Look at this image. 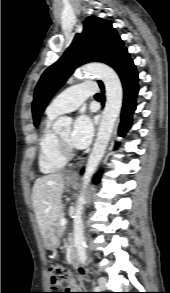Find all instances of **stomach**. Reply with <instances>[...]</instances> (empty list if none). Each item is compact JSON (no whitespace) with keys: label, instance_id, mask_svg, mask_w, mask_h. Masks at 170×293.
Masks as SVG:
<instances>
[{"label":"stomach","instance_id":"stomach-1","mask_svg":"<svg viewBox=\"0 0 170 293\" xmlns=\"http://www.w3.org/2000/svg\"><path fill=\"white\" fill-rule=\"evenodd\" d=\"M76 179L70 176L66 177V183L68 185H72L75 183ZM44 245L47 249H56L60 245V238L59 236L52 230H49L46 232V234L43 236Z\"/></svg>","mask_w":170,"mask_h":293}]
</instances>
